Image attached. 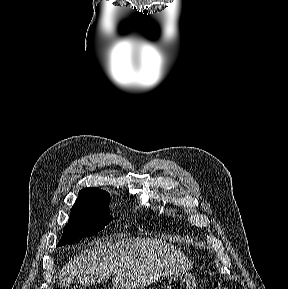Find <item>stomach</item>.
<instances>
[{"label":"stomach","instance_id":"obj_1","mask_svg":"<svg viewBox=\"0 0 288 289\" xmlns=\"http://www.w3.org/2000/svg\"><path fill=\"white\" fill-rule=\"evenodd\" d=\"M168 289H196V279L189 272H179L170 276Z\"/></svg>","mask_w":288,"mask_h":289}]
</instances>
